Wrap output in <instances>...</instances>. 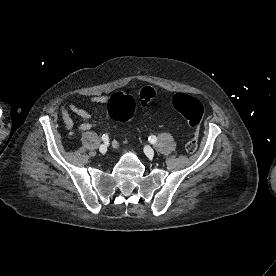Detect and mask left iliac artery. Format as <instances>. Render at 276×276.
Instances as JSON below:
<instances>
[{
    "instance_id": "obj_1",
    "label": "left iliac artery",
    "mask_w": 276,
    "mask_h": 276,
    "mask_svg": "<svg viewBox=\"0 0 276 276\" xmlns=\"http://www.w3.org/2000/svg\"><path fill=\"white\" fill-rule=\"evenodd\" d=\"M148 140L150 141V143H152V144H154V143H156V141H157V138L155 137V136H150L149 138H148Z\"/></svg>"
}]
</instances>
